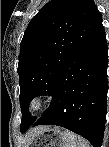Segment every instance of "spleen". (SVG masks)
<instances>
[{"label": "spleen", "instance_id": "spleen-1", "mask_svg": "<svg viewBox=\"0 0 109 147\" xmlns=\"http://www.w3.org/2000/svg\"><path fill=\"white\" fill-rule=\"evenodd\" d=\"M65 140V147H90L87 140L70 131L65 133Z\"/></svg>", "mask_w": 109, "mask_h": 147}]
</instances>
